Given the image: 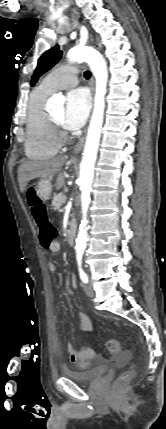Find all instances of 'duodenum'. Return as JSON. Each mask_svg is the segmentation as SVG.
Returning a JSON list of instances; mask_svg holds the SVG:
<instances>
[{
    "label": "duodenum",
    "instance_id": "duodenum-1",
    "mask_svg": "<svg viewBox=\"0 0 166 429\" xmlns=\"http://www.w3.org/2000/svg\"><path fill=\"white\" fill-rule=\"evenodd\" d=\"M76 229L74 223H71L68 232H67V240L70 245H73L75 242Z\"/></svg>",
    "mask_w": 166,
    "mask_h": 429
}]
</instances>
